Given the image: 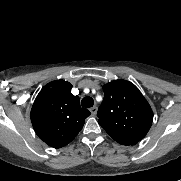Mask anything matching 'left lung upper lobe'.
<instances>
[{
    "label": "left lung upper lobe",
    "mask_w": 181,
    "mask_h": 181,
    "mask_svg": "<svg viewBox=\"0 0 181 181\" xmlns=\"http://www.w3.org/2000/svg\"><path fill=\"white\" fill-rule=\"evenodd\" d=\"M104 100L97 116L98 123L116 142L135 145L148 133L152 121V109L131 82L114 80L103 85Z\"/></svg>",
    "instance_id": "obj_1"
}]
</instances>
